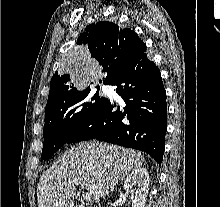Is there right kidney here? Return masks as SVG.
Instances as JSON below:
<instances>
[{"label": "right kidney", "mask_w": 220, "mask_h": 207, "mask_svg": "<svg viewBox=\"0 0 220 207\" xmlns=\"http://www.w3.org/2000/svg\"><path fill=\"white\" fill-rule=\"evenodd\" d=\"M149 183V174L147 170L142 167L134 169L127 176L123 188L131 195L132 207H145ZM133 186H135V189H132Z\"/></svg>", "instance_id": "1"}]
</instances>
